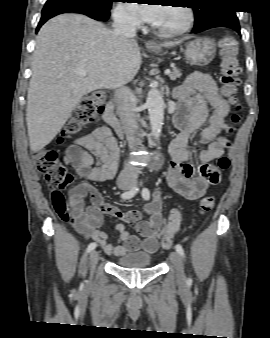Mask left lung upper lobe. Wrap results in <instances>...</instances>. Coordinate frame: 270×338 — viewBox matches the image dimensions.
Masks as SVG:
<instances>
[{
  "instance_id": "5c2ea615",
  "label": "left lung upper lobe",
  "mask_w": 270,
  "mask_h": 338,
  "mask_svg": "<svg viewBox=\"0 0 270 338\" xmlns=\"http://www.w3.org/2000/svg\"><path fill=\"white\" fill-rule=\"evenodd\" d=\"M229 0H194V3L199 4L193 7L195 15L194 29L198 30L211 20L225 15L233 10L227 8Z\"/></svg>"
}]
</instances>
